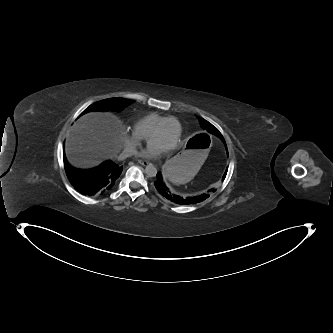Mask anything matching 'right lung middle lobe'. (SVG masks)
<instances>
[{"label": "right lung middle lobe", "instance_id": "1", "mask_svg": "<svg viewBox=\"0 0 333 333\" xmlns=\"http://www.w3.org/2000/svg\"><path fill=\"white\" fill-rule=\"evenodd\" d=\"M133 100L124 99V98H110L98 101L88 108H86L82 114L90 112V111H105V110H116L120 111L124 107L130 105ZM81 114V115H82Z\"/></svg>", "mask_w": 333, "mask_h": 333}]
</instances>
